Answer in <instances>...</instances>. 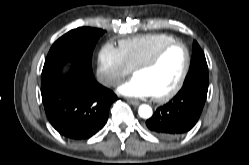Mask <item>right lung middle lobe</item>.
Masks as SVG:
<instances>
[{
	"instance_id": "obj_1",
	"label": "right lung middle lobe",
	"mask_w": 249,
	"mask_h": 165,
	"mask_svg": "<svg viewBox=\"0 0 249 165\" xmlns=\"http://www.w3.org/2000/svg\"><path fill=\"white\" fill-rule=\"evenodd\" d=\"M103 33L104 30L89 27H79L69 31L54 42L45 63L70 61L93 75L92 53Z\"/></svg>"
}]
</instances>
